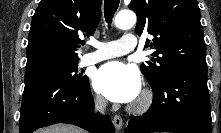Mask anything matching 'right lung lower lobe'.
<instances>
[{
    "label": "right lung lower lobe",
    "instance_id": "right-lung-lower-lobe-1",
    "mask_svg": "<svg viewBox=\"0 0 221 133\" xmlns=\"http://www.w3.org/2000/svg\"><path fill=\"white\" fill-rule=\"evenodd\" d=\"M93 109L89 79L74 84L53 71L26 73L19 132L70 123L92 133H114L110 117L93 115Z\"/></svg>",
    "mask_w": 221,
    "mask_h": 133
}]
</instances>
